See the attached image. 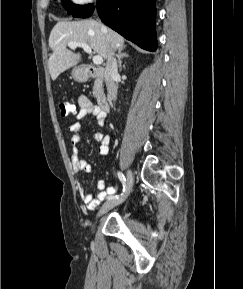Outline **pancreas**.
<instances>
[{"label":"pancreas","instance_id":"1","mask_svg":"<svg viewBox=\"0 0 243 289\" xmlns=\"http://www.w3.org/2000/svg\"><path fill=\"white\" fill-rule=\"evenodd\" d=\"M101 90H102V82L100 79H96L93 86V95L95 98L98 99L100 97Z\"/></svg>","mask_w":243,"mask_h":289}]
</instances>
